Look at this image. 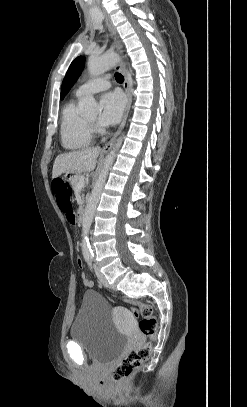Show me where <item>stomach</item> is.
Instances as JSON below:
<instances>
[{
	"label": "stomach",
	"instance_id": "obj_1",
	"mask_svg": "<svg viewBox=\"0 0 247 407\" xmlns=\"http://www.w3.org/2000/svg\"><path fill=\"white\" fill-rule=\"evenodd\" d=\"M65 178L68 181H72V179L74 178L75 172L73 169H66L64 172Z\"/></svg>",
	"mask_w": 247,
	"mask_h": 407
}]
</instances>
